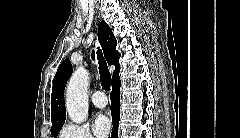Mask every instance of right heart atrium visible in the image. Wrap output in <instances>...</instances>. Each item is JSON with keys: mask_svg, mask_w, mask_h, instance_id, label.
Returning <instances> with one entry per match:
<instances>
[{"mask_svg": "<svg viewBox=\"0 0 240 138\" xmlns=\"http://www.w3.org/2000/svg\"><path fill=\"white\" fill-rule=\"evenodd\" d=\"M61 138H94L88 125L82 123L67 122L60 131Z\"/></svg>", "mask_w": 240, "mask_h": 138, "instance_id": "1", "label": "right heart atrium"}]
</instances>
